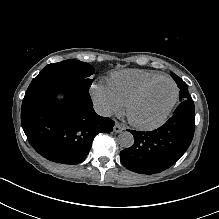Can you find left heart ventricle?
I'll list each match as a JSON object with an SVG mask.
<instances>
[{
    "mask_svg": "<svg viewBox=\"0 0 219 219\" xmlns=\"http://www.w3.org/2000/svg\"><path fill=\"white\" fill-rule=\"evenodd\" d=\"M175 89L171 82L157 83L133 108V117L142 122L157 120L174 97Z\"/></svg>",
    "mask_w": 219,
    "mask_h": 219,
    "instance_id": "1",
    "label": "left heart ventricle"
}]
</instances>
